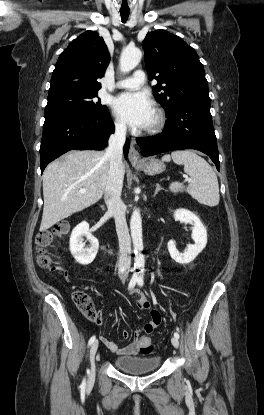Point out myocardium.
Wrapping results in <instances>:
<instances>
[{
    "label": "myocardium",
    "instance_id": "obj_1",
    "mask_svg": "<svg viewBox=\"0 0 264 415\" xmlns=\"http://www.w3.org/2000/svg\"><path fill=\"white\" fill-rule=\"evenodd\" d=\"M154 115L153 123L145 128V132L148 134L159 132L165 125V114L161 108H155Z\"/></svg>",
    "mask_w": 264,
    "mask_h": 415
}]
</instances>
